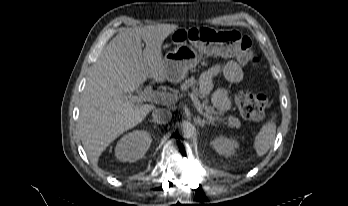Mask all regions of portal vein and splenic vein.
Returning <instances> with one entry per match:
<instances>
[{"label": "portal vein and splenic vein", "mask_w": 348, "mask_h": 206, "mask_svg": "<svg viewBox=\"0 0 348 206\" xmlns=\"http://www.w3.org/2000/svg\"><path fill=\"white\" fill-rule=\"evenodd\" d=\"M189 96L192 99L197 111L200 114L207 116L203 112V106L201 105L198 97L194 93H189ZM127 98H129L132 102H136V101L140 102L142 100H147V101H154V102L169 103V102H174L177 99V96L171 93L154 92L152 90V87L148 86L144 89V91L139 96H127Z\"/></svg>", "instance_id": "obj_1"}]
</instances>
